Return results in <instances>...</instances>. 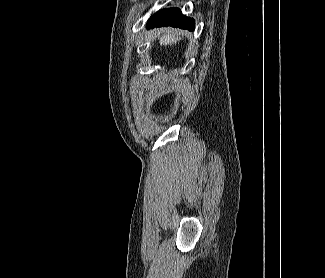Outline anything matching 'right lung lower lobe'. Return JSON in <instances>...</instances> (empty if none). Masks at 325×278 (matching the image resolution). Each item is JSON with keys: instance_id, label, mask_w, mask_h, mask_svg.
<instances>
[{"instance_id": "1", "label": "right lung lower lobe", "mask_w": 325, "mask_h": 278, "mask_svg": "<svg viewBox=\"0 0 325 278\" xmlns=\"http://www.w3.org/2000/svg\"><path fill=\"white\" fill-rule=\"evenodd\" d=\"M161 26H172L187 29L189 31L194 30L195 21L190 17L182 15L178 8L164 9L152 17H150L147 28L161 27Z\"/></svg>"}]
</instances>
